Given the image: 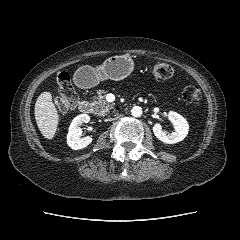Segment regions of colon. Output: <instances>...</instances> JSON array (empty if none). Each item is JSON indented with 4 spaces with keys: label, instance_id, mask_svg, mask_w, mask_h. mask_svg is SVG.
<instances>
[{
    "label": "colon",
    "instance_id": "obj_1",
    "mask_svg": "<svg viewBox=\"0 0 240 240\" xmlns=\"http://www.w3.org/2000/svg\"><path fill=\"white\" fill-rule=\"evenodd\" d=\"M174 74L171 65L166 62H155L151 68V75L156 81H166ZM58 95L55 104L60 112H66L77 104V94L72 85L70 75L66 71L57 73ZM182 98L189 105L196 107L202 100V92L197 85H187L182 90Z\"/></svg>",
    "mask_w": 240,
    "mask_h": 240
}]
</instances>
